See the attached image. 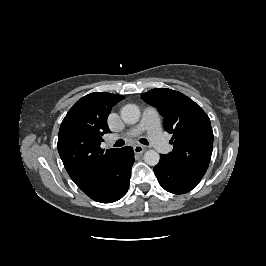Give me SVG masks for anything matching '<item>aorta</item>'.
<instances>
[{
    "mask_svg": "<svg viewBox=\"0 0 266 266\" xmlns=\"http://www.w3.org/2000/svg\"><path fill=\"white\" fill-rule=\"evenodd\" d=\"M121 118L127 124H135L140 119V110L134 104H127L121 110ZM160 155L155 150H148L144 153V161L150 166L159 163Z\"/></svg>",
    "mask_w": 266,
    "mask_h": 266,
    "instance_id": "1",
    "label": "aorta"
}]
</instances>
